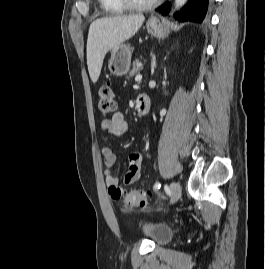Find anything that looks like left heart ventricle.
<instances>
[{
    "mask_svg": "<svg viewBox=\"0 0 265 269\" xmlns=\"http://www.w3.org/2000/svg\"><path fill=\"white\" fill-rule=\"evenodd\" d=\"M136 1L144 2V1H148V0H136Z\"/></svg>",
    "mask_w": 265,
    "mask_h": 269,
    "instance_id": "1",
    "label": "left heart ventricle"
}]
</instances>
